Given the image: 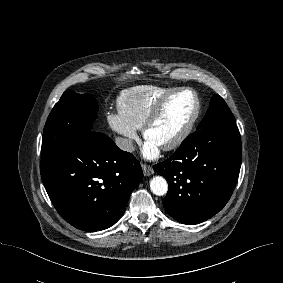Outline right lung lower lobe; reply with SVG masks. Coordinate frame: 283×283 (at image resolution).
<instances>
[{"label":"right lung lower lobe","instance_id":"98d812e1","mask_svg":"<svg viewBox=\"0 0 283 283\" xmlns=\"http://www.w3.org/2000/svg\"><path fill=\"white\" fill-rule=\"evenodd\" d=\"M45 189L60 216L83 231H100L122 215L143 176L139 161L105 134L88 131L42 160Z\"/></svg>","mask_w":283,"mask_h":283}]
</instances>
